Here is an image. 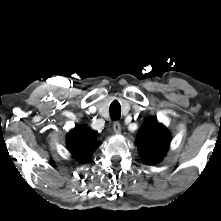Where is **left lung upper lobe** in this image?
Masks as SVG:
<instances>
[{
  "label": "left lung upper lobe",
  "mask_w": 221,
  "mask_h": 221,
  "mask_svg": "<svg viewBox=\"0 0 221 221\" xmlns=\"http://www.w3.org/2000/svg\"><path fill=\"white\" fill-rule=\"evenodd\" d=\"M170 144L167 129L156 119L149 118L141 126L136 145L146 164L158 163L166 153Z\"/></svg>",
  "instance_id": "1"
}]
</instances>
